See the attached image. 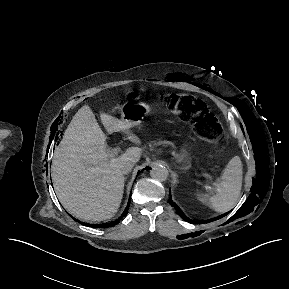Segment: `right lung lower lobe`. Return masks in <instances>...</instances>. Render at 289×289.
<instances>
[{
  "instance_id": "right-lung-lower-lobe-1",
  "label": "right lung lower lobe",
  "mask_w": 289,
  "mask_h": 289,
  "mask_svg": "<svg viewBox=\"0 0 289 289\" xmlns=\"http://www.w3.org/2000/svg\"><path fill=\"white\" fill-rule=\"evenodd\" d=\"M129 204H130V200H129L128 206H127L126 210L124 211V213L121 215L120 218H118V219L115 220V221H112V222H110V223H104V224H102V225H92V224H90V225H89V224H85V225H88V226H91V227H95V228H97V227H113V226H115L116 224H118L119 221H120V219L127 214V211H128V209H129Z\"/></svg>"
}]
</instances>
